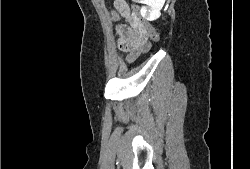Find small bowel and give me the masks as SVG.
<instances>
[{
  "mask_svg": "<svg viewBox=\"0 0 250 169\" xmlns=\"http://www.w3.org/2000/svg\"><path fill=\"white\" fill-rule=\"evenodd\" d=\"M119 15L126 17L128 23L131 25L129 30L121 29L123 39L120 41V46L122 47L123 51L127 53L128 60L133 61L137 59L147 48V42L141 43L138 41L137 34L140 26L138 25V22L135 20V18L129 14L121 12V10L117 8V12L113 13V17L118 19Z\"/></svg>",
  "mask_w": 250,
  "mask_h": 169,
  "instance_id": "small-bowel-1",
  "label": "small bowel"
}]
</instances>
